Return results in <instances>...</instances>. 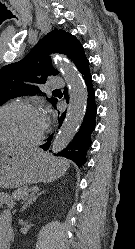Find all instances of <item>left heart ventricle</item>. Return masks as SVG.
Listing matches in <instances>:
<instances>
[{
    "instance_id": "b2bd125f",
    "label": "left heart ventricle",
    "mask_w": 135,
    "mask_h": 249,
    "mask_svg": "<svg viewBox=\"0 0 135 249\" xmlns=\"http://www.w3.org/2000/svg\"><path fill=\"white\" fill-rule=\"evenodd\" d=\"M44 116L39 111L12 106L0 112V138L35 139L42 131Z\"/></svg>"
}]
</instances>
